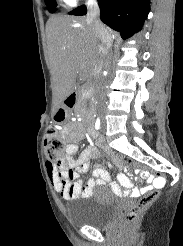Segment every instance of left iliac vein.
I'll list each match as a JSON object with an SVG mask.
<instances>
[{"label": "left iliac vein", "mask_w": 183, "mask_h": 246, "mask_svg": "<svg viewBox=\"0 0 183 246\" xmlns=\"http://www.w3.org/2000/svg\"><path fill=\"white\" fill-rule=\"evenodd\" d=\"M102 130H105V123L102 124Z\"/></svg>", "instance_id": "1"}]
</instances>
